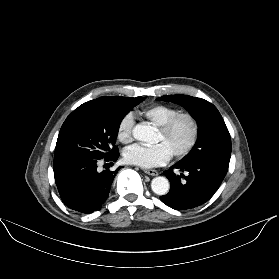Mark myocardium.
Masks as SVG:
<instances>
[{
	"label": "myocardium",
	"instance_id": "f54148a6",
	"mask_svg": "<svg viewBox=\"0 0 279 279\" xmlns=\"http://www.w3.org/2000/svg\"><path fill=\"white\" fill-rule=\"evenodd\" d=\"M182 118H186L189 120L191 124V135L189 141L183 149L172 153V156L175 158H181L186 156L194 148L199 136V123L197 118L190 112H179L159 127V131L163 135H167L173 129L175 124Z\"/></svg>",
	"mask_w": 279,
	"mask_h": 279
}]
</instances>
